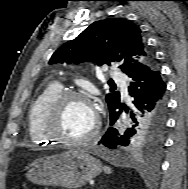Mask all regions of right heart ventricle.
<instances>
[{
	"label": "right heart ventricle",
	"instance_id": "obj_1",
	"mask_svg": "<svg viewBox=\"0 0 188 189\" xmlns=\"http://www.w3.org/2000/svg\"><path fill=\"white\" fill-rule=\"evenodd\" d=\"M61 91H63L62 84L52 82L31 103L28 110L27 127L29 138L33 144L40 145L54 142L43 131L44 113L52 99Z\"/></svg>",
	"mask_w": 188,
	"mask_h": 189
}]
</instances>
